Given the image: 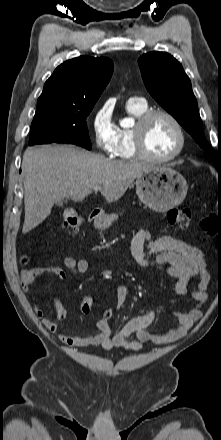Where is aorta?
Returning <instances> with one entry per match:
<instances>
[{
	"instance_id": "aorta-1",
	"label": "aorta",
	"mask_w": 221,
	"mask_h": 440,
	"mask_svg": "<svg viewBox=\"0 0 221 440\" xmlns=\"http://www.w3.org/2000/svg\"><path fill=\"white\" fill-rule=\"evenodd\" d=\"M128 122H129V119H125V120H123L122 125H126Z\"/></svg>"
}]
</instances>
